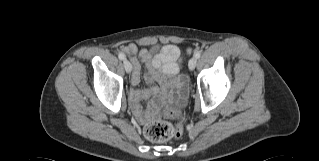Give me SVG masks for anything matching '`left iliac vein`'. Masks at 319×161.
<instances>
[{
	"instance_id": "4c4485c4",
	"label": "left iliac vein",
	"mask_w": 319,
	"mask_h": 161,
	"mask_svg": "<svg viewBox=\"0 0 319 161\" xmlns=\"http://www.w3.org/2000/svg\"><path fill=\"white\" fill-rule=\"evenodd\" d=\"M197 64V58L196 57H192L189 61V69L190 70H194Z\"/></svg>"
}]
</instances>
